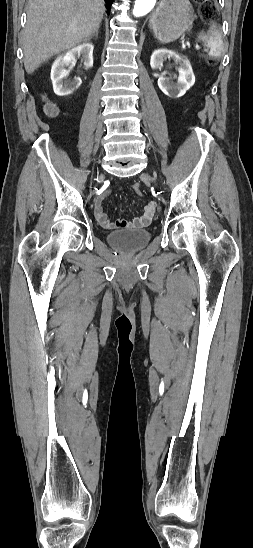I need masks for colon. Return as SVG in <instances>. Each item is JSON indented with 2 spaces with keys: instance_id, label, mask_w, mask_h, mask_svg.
<instances>
[{
  "instance_id": "5ec220e1",
  "label": "colon",
  "mask_w": 253,
  "mask_h": 548,
  "mask_svg": "<svg viewBox=\"0 0 253 548\" xmlns=\"http://www.w3.org/2000/svg\"><path fill=\"white\" fill-rule=\"evenodd\" d=\"M200 16L205 21H210L212 18L216 16V4L214 0H200V9H199ZM210 64H214L215 61L213 59L209 60ZM47 112L49 114H53L55 112V108L53 106H48ZM134 192L141 196L142 190L138 183H135L133 185Z\"/></svg>"
}]
</instances>
